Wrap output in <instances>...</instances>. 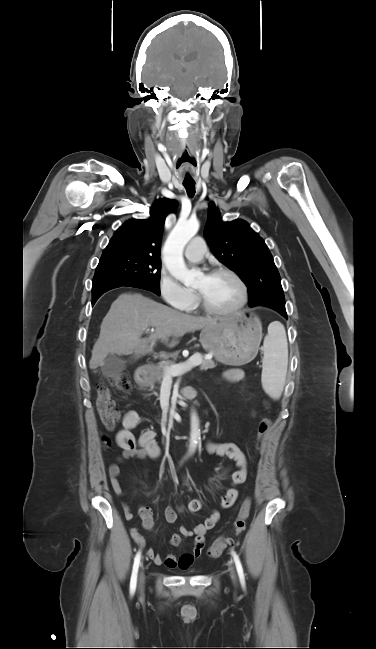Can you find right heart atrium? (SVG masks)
<instances>
[{
	"label": "right heart atrium",
	"mask_w": 376,
	"mask_h": 649,
	"mask_svg": "<svg viewBox=\"0 0 376 649\" xmlns=\"http://www.w3.org/2000/svg\"><path fill=\"white\" fill-rule=\"evenodd\" d=\"M158 291L170 306L185 309L194 300V293L181 285L167 270L162 269L158 279Z\"/></svg>",
	"instance_id": "obj_1"
}]
</instances>
